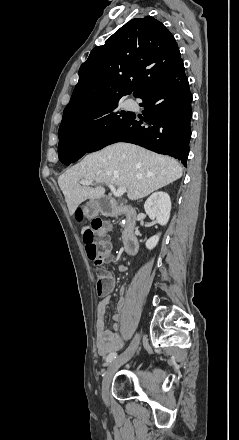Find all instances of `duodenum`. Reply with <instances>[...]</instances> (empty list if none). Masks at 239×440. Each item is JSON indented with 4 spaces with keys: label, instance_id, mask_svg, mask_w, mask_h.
Listing matches in <instances>:
<instances>
[{
    "label": "duodenum",
    "instance_id": "410a0bca",
    "mask_svg": "<svg viewBox=\"0 0 239 440\" xmlns=\"http://www.w3.org/2000/svg\"><path fill=\"white\" fill-rule=\"evenodd\" d=\"M96 206L100 213L106 216L124 215L125 225L122 231V240L125 252L129 256L137 253L139 248L138 238L135 234L137 213L134 208L119 204L115 199L108 196H100L96 199Z\"/></svg>",
    "mask_w": 239,
    "mask_h": 440
}]
</instances>
